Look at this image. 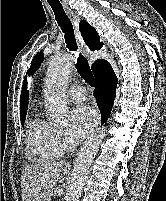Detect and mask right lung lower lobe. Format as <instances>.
<instances>
[{"mask_svg": "<svg viewBox=\"0 0 166 201\" xmlns=\"http://www.w3.org/2000/svg\"><path fill=\"white\" fill-rule=\"evenodd\" d=\"M94 76L98 82L94 93L101 112V124H103L111 114L116 95L117 77L111 65L106 61L101 64Z\"/></svg>", "mask_w": 166, "mask_h": 201, "instance_id": "right-lung-lower-lobe-1", "label": "right lung lower lobe"}]
</instances>
